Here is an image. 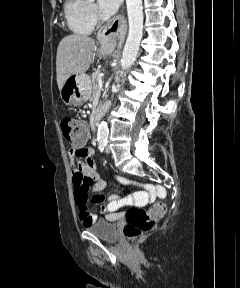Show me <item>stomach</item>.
Listing matches in <instances>:
<instances>
[{
    "mask_svg": "<svg viewBox=\"0 0 240 288\" xmlns=\"http://www.w3.org/2000/svg\"><path fill=\"white\" fill-rule=\"evenodd\" d=\"M112 49L107 45H102L98 50L100 56L110 54ZM91 79L86 74H77L67 78L63 87L60 89L62 101L72 107H77L86 102L91 95Z\"/></svg>",
    "mask_w": 240,
    "mask_h": 288,
    "instance_id": "stomach-1",
    "label": "stomach"
}]
</instances>
